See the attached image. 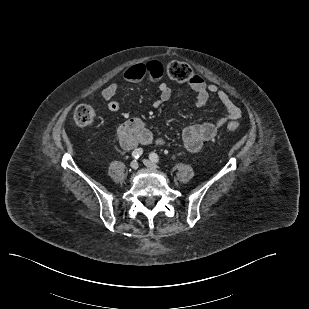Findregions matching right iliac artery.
I'll list each match as a JSON object with an SVG mask.
<instances>
[{"instance_id": "right-iliac-artery-1", "label": "right iliac artery", "mask_w": 309, "mask_h": 309, "mask_svg": "<svg viewBox=\"0 0 309 309\" xmlns=\"http://www.w3.org/2000/svg\"><path fill=\"white\" fill-rule=\"evenodd\" d=\"M143 154V149L138 148L132 152V157L138 159Z\"/></svg>"}]
</instances>
